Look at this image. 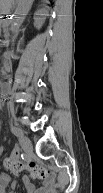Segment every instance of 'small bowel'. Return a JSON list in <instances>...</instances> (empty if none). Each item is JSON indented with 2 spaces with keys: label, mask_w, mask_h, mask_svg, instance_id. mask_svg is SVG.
<instances>
[{
  "label": "small bowel",
  "mask_w": 103,
  "mask_h": 193,
  "mask_svg": "<svg viewBox=\"0 0 103 193\" xmlns=\"http://www.w3.org/2000/svg\"><path fill=\"white\" fill-rule=\"evenodd\" d=\"M22 182L25 193H58V186L54 177L45 179L39 187H36L27 176L22 177ZM0 186L3 193H15L17 189L16 182L12 181L6 173L0 175Z\"/></svg>",
  "instance_id": "1"
}]
</instances>
